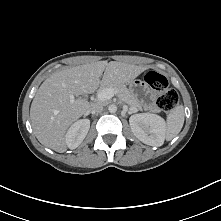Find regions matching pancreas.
Here are the masks:
<instances>
[{"label": "pancreas", "mask_w": 221, "mask_h": 221, "mask_svg": "<svg viewBox=\"0 0 221 221\" xmlns=\"http://www.w3.org/2000/svg\"><path fill=\"white\" fill-rule=\"evenodd\" d=\"M107 88H111L117 93L120 99H122L125 103H127L130 107H141L139 101L133 96V94L126 88L125 85L122 84H110V85H101L99 89V93ZM98 93V94H99ZM106 101L98 100V104H105ZM154 112H159L160 110L155 108L153 109Z\"/></svg>", "instance_id": "obj_1"}]
</instances>
